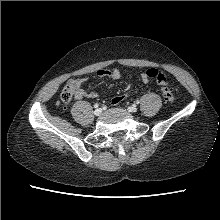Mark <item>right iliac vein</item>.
<instances>
[{"instance_id": "1", "label": "right iliac vein", "mask_w": 220, "mask_h": 220, "mask_svg": "<svg viewBox=\"0 0 220 220\" xmlns=\"http://www.w3.org/2000/svg\"><path fill=\"white\" fill-rule=\"evenodd\" d=\"M101 113H102V110L100 108H98L94 111L95 116H99V115H101Z\"/></svg>"}]
</instances>
